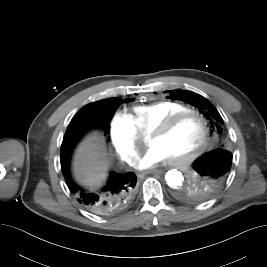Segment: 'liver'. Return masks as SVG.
Listing matches in <instances>:
<instances>
[{
    "label": "liver",
    "mask_w": 267,
    "mask_h": 267,
    "mask_svg": "<svg viewBox=\"0 0 267 267\" xmlns=\"http://www.w3.org/2000/svg\"><path fill=\"white\" fill-rule=\"evenodd\" d=\"M76 179L90 188L99 186L106 178L107 153L103 138L94 133L79 146L74 159Z\"/></svg>",
    "instance_id": "obj_1"
}]
</instances>
